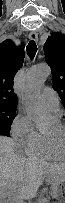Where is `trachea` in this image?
<instances>
[{
	"instance_id": "trachea-1",
	"label": "trachea",
	"mask_w": 65,
	"mask_h": 203,
	"mask_svg": "<svg viewBox=\"0 0 65 203\" xmlns=\"http://www.w3.org/2000/svg\"><path fill=\"white\" fill-rule=\"evenodd\" d=\"M26 51H27L28 56H29L31 59L34 58V56H35V54H36V52H37V45H36V43H35L33 40H31V41L28 43V45H27V47H26Z\"/></svg>"
}]
</instances>
